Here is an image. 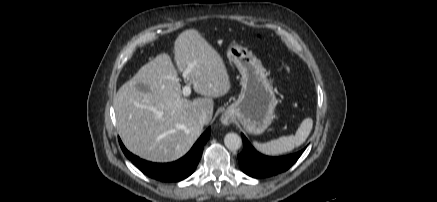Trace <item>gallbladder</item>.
I'll return each instance as SVG.
<instances>
[{
	"label": "gallbladder",
	"instance_id": "obj_1",
	"mask_svg": "<svg viewBox=\"0 0 437 202\" xmlns=\"http://www.w3.org/2000/svg\"><path fill=\"white\" fill-rule=\"evenodd\" d=\"M136 87L142 92H149L150 91L149 86L144 84V83H138L136 85Z\"/></svg>",
	"mask_w": 437,
	"mask_h": 202
}]
</instances>
